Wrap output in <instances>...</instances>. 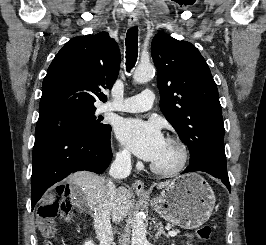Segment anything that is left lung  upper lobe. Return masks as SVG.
<instances>
[{
	"instance_id": "obj_1",
	"label": "left lung upper lobe",
	"mask_w": 266,
	"mask_h": 245,
	"mask_svg": "<svg viewBox=\"0 0 266 245\" xmlns=\"http://www.w3.org/2000/svg\"><path fill=\"white\" fill-rule=\"evenodd\" d=\"M160 108L190 150V163L226 166L224 126L216 83L198 49L166 33L152 40Z\"/></svg>"
}]
</instances>
